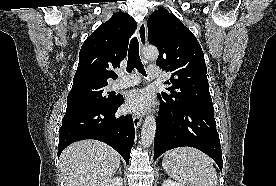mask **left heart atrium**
<instances>
[{"instance_id": "1", "label": "left heart atrium", "mask_w": 276, "mask_h": 186, "mask_svg": "<svg viewBox=\"0 0 276 186\" xmlns=\"http://www.w3.org/2000/svg\"><path fill=\"white\" fill-rule=\"evenodd\" d=\"M150 105V95L145 90H136L128 94L125 109L131 113L141 114Z\"/></svg>"}]
</instances>
